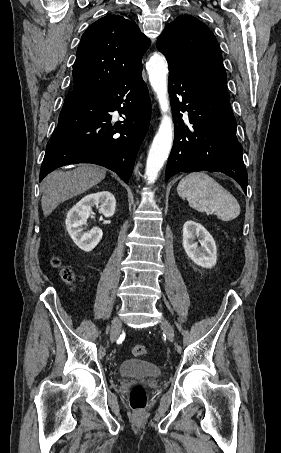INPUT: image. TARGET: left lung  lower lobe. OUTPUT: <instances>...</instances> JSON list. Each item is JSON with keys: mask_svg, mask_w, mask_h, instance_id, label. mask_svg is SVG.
Returning <instances> with one entry per match:
<instances>
[{"mask_svg": "<svg viewBox=\"0 0 281 453\" xmlns=\"http://www.w3.org/2000/svg\"><path fill=\"white\" fill-rule=\"evenodd\" d=\"M168 89L175 138L165 180L178 172H222L246 194L247 172L226 79L191 76L169 66ZM180 111L188 112L189 125L183 123Z\"/></svg>", "mask_w": 281, "mask_h": 453, "instance_id": "left-lung-lower-lobe-1", "label": "left lung lower lobe"}]
</instances>
